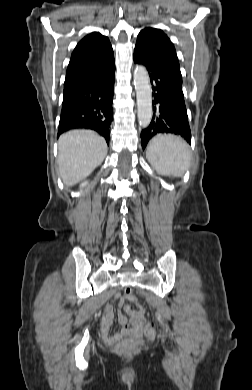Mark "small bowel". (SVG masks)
Listing matches in <instances>:
<instances>
[{"instance_id": "small-bowel-1", "label": "small bowel", "mask_w": 252, "mask_h": 390, "mask_svg": "<svg viewBox=\"0 0 252 390\" xmlns=\"http://www.w3.org/2000/svg\"><path fill=\"white\" fill-rule=\"evenodd\" d=\"M114 297L118 299L119 305L122 306L124 302V297L114 294ZM124 313L119 312L118 320L121 323V330L112 334L111 337L118 339L124 336H129L131 334H141L143 330H146L145 326V312L142 307L139 310H134L130 306L123 307ZM113 316V308L111 303H107L105 306V316L103 320V331L109 333L111 320Z\"/></svg>"}]
</instances>
